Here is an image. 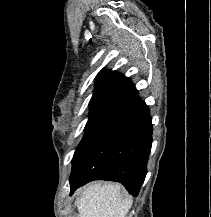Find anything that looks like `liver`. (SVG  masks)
Masks as SVG:
<instances>
[{"label":"liver","mask_w":211,"mask_h":217,"mask_svg":"<svg viewBox=\"0 0 211 217\" xmlns=\"http://www.w3.org/2000/svg\"><path fill=\"white\" fill-rule=\"evenodd\" d=\"M133 199L123 198L120 184L89 185L77 199L79 217H125Z\"/></svg>","instance_id":"obj_1"}]
</instances>
